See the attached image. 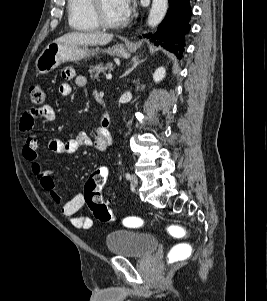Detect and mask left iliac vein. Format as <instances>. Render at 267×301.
Returning <instances> with one entry per match:
<instances>
[{
    "instance_id": "1",
    "label": "left iliac vein",
    "mask_w": 267,
    "mask_h": 301,
    "mask_svg": "<svg viewBox=\"0 0 267 301\" xmlns=\"http://www.w3.org/2000/svg\"><path fill=\"white\" fill-rule=\"evenodd\" d=\"M130 184L132 188H136L138 186V177L135 174L131 176Z\"/></svg>"
}]
</instances>
